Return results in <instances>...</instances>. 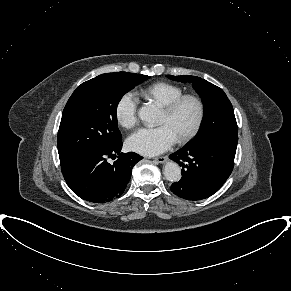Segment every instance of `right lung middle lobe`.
<instances>
[{"instance_id": "1", "label": "right lung middle lobe", "mask_w": 291, "mask_h": 291, "mask_svg": "<svg viewBox=\"0 0 291 291\" xmlns=\"http://www.w3.org/2000/svg\"><path fill=\"white\" fill-rule=\"evenodd\" d=\"M149 78L128 72L106 73L78 86L63 110L58 131L61 166L121 141L117 105L126 92Z\"/></svg>"}]
</instances>
